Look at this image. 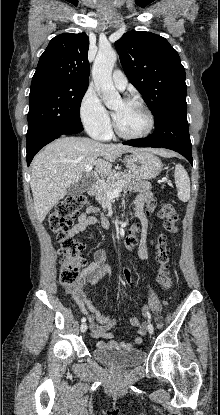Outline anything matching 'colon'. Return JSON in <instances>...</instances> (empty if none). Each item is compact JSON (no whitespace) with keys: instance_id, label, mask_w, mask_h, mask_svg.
<instances>
[{"instance_id":"obj_1","label":"colon","mask_w":220,"mask_h":415,"mask_svg":"<svg viewBox=\"0 0 220 415\" xmlns=\"http://www.w3.org/2000/svg\"><path fill=\"white\" fill-rule=\"evenodd\" d=\"M84 195H75L61 201L48 215V226L56 235L59 250L62 255L59 281L63 287L73 286L79 277L83 261L81 259L82 244L69 233L75 216L86 205ZM163 222L166 235L157 239V263L159 266L158 281L164 290H169L173 284L172 276L167 272L166 267L170 255L169 235L176 230L178 214L173 204H164L158 214ZM131 274L128 269L123 271V281L129 283Z\"/></svg>"}]
</instances>
